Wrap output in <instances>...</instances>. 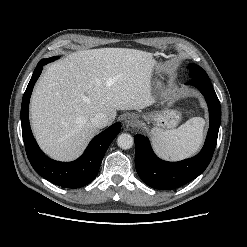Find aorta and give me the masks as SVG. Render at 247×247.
I'll return each mask as SVG.
<instances>
[{"mask_svg": "<svg viewBox=\"0 0 247 247\" xmlns=\"http://www.w3.org/2000/svg\"><path fill=\"white\" fill-rule=\"evenodd\" d=\"M134 139L128 133H122L117 138V144L122 149H130L133 146Z\"/></svg>", "mask_w": 247, "mask_h": 247, "instance_id": "1", "label": "aorta"}]
</instances>
